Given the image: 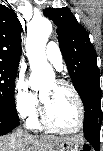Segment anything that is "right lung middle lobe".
Segmentation results:
<instances>
[{
	"label": "right lung middle lobe",
	"mask_w": 103,
	"mask_h": 151,
	"mask_svg": "<svg viewBox=\"0 0 103 151\" xmlns=\"http://www.w3.org/2000/svg\"><path fill=\"white\" fill-rule=\"evenodd\" d=\"M18 65L0 63V111L18 117L14 101V81Z\"/></svg>",
	"instance_id": "right-lung-middle-lobe-1"
}]
</instances>
